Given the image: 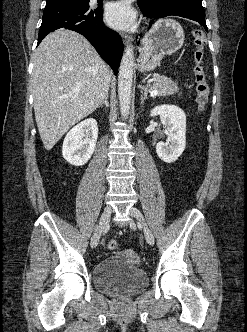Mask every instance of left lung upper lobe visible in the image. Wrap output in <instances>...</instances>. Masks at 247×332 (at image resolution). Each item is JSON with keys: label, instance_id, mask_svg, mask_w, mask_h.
Segmentation results:
<instances>
[{"label": "left lung upper lobe", "instance_id": "5c2ea615", "mask_svg": "<svg viewBox=\"0 0 247 332\" xmlns=\"http://www.w3.org/2000/svg\"><path fill=\"white\" fill-rule=\"evenodd\" d=\"M176 4L202 7V0H138V6L146 10H158Z\"/></svg>", "mask_w": 247, "mask_h": 332}]
</instances>
